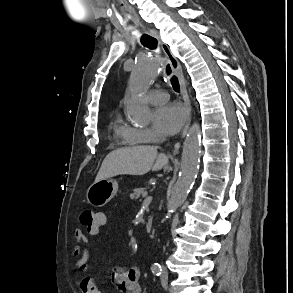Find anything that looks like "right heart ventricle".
<instances>
[{
	"instance_id": "e07e8e85",
	"label": "right heart ventricle",
	"mask_w": 293,
	"mask_h": 293,
	"mask_svg": "<svg viewBox=\"0 0 293 293\" xmlns=\"http://www.w3.org/2000/svg\"><path fill=\"white\" fill-rule=\"evenodd\" d=\"M116 134L121 137L125 144L127 145H136L139 144L141 141H139L137 138L133 137L131 133V128L117 125L116 126Z\"/></svg>"
}]
</instances>
